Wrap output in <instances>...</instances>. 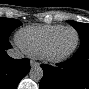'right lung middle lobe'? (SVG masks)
Returning a JSON list of instances; mask_svg holds the SVG:
<instances>
[{
    "mask_svg": "<svg viewBox=\"0 0 89 89\" xmlns=\"http://www.w3.org/2000/svg\"><path fill=\"white\" fill-rule=\"evenodd\" d=\"M22 25V23L16 19H8L5 17L0 18V39H8L11 32Z\"/></svg>",
    "mask_w": 89,
    "mask_h": 89,
    "instance_id": "right-lung-middle-lobe-1",
    "label": "right lung middle lobe"
}]
</instances>
